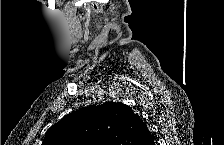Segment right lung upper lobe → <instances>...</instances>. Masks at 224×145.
<instances>
[{
    "mask_svg": "<svg viewBox=\"0 0 224 145\" xmlns=\"http://www.w3.org/2000/svg\"><path fill=\"white\" fill-rule=\"evenodd\" d=\"M42 145H155L146 124L126 104L106 102L64 116Z\"/></svg>",
    "mask_w": 224,
    "mask_h": 145,
    "instance_id": "right-lung-upper-lobe-1",
    "label": "right lung upper lobe"
}]
</instances>
